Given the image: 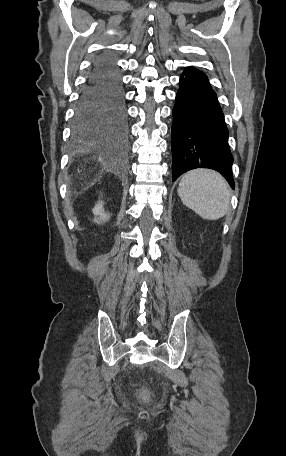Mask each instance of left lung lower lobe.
Here are the masks:
<instances>
[{
    "label": "left lung lower lobe",
    "mask_w": 286,
    "mask_h": 456,
    "mask_svg": "<svg viewBox=\"0 0 286 456\" xmlns=\"http://www.w3.org/2000/svg\"><path fill=\"white\" fill-rule=\"evenodd\" d=\"M179 84L172 112V180L191 169L210 168L234 189L229 132L216 93L207 76L192 67Z\"/></svg>",
    "instance_id": "0a47b994"
}]
</instances>
